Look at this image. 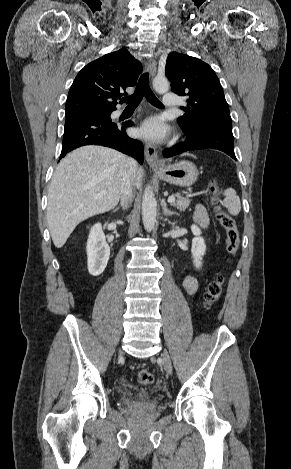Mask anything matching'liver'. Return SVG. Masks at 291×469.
<instances>
[{
    "mask_svg": "<svg viewBox=\"0 0 291 469\" xmlns=\"http://www.w3.org/2000/svg\"><path fill=\"white\" fill-rule=\"evenodd\" d=\"M127 159L110 148L84 146L59 163L51 179L47 206V223L57 248L66 243L79 223L118 204ZM142 176L143 170L137 167L135 187L140 186Z\"/></svg>",
    "mask_w": 291,
    "mask_h": 469,
    "instance_id": "1",
    "label": "liver"
}]
</instances>
